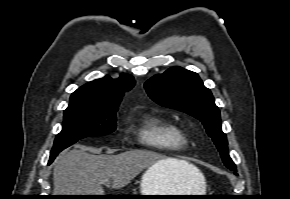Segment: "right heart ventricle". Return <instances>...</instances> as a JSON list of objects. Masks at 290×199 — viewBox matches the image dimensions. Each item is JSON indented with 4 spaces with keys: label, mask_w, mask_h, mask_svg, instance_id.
<instances>
[{
    "label": "right heart ventricle",
    "mask_w": 290,
    "mask_h": 199,
    "mask_svg": "<svg viewBox=\"0 0 290 199\" xmlns=\"http://www.w3.org/2000/svg\"><path fill=\"white\" fill-rule=\"evenodd\" d=\"M139 139L159 150L177 151L188 145L184 131L174 122L154 114H146L130 123Z\"/></svg>",
    "instance_id": "1"
}]
</instances>
